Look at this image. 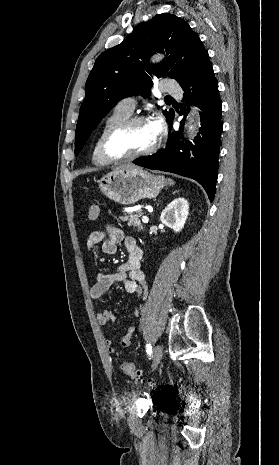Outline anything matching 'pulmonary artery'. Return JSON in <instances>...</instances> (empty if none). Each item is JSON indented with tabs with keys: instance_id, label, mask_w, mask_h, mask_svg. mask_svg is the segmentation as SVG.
Returning a JSON list of instances; mask_svg holds the SVG:
<instances>
[{
	"instance_id": "pulmonary-artery-1",
	"label": "pulmonary artery",
	"mask_w": 279,
	"mask_h": 465,
	"mask_svg": "<svg viewBox=\"0 0 279 465\" xmlns=\"http://www.w3.org/2000/svg\"><path fill=\"white\" fill-rule=\"evenodd\" d=\"M164 91L175 96H179L181 94L180 88L174 84L166 85ZM118 106L125 111L132 113L136 107V99L134 97L124 98L118 103Z\"/></svg>"
}]
</instances>
